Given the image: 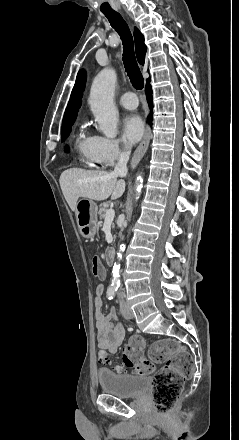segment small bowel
Instances as JSON below:
<instances>
[{
	"label": "small bowel",
	"mask_w": 239,
	"mask_h": 440,
	"mask_svg": "<svg viewBox=\"0 0 239 440\" xmlns=\"http://www.w3.org/2000/svg\"><path fill=\"white\" fill-rule=\"evenodd\" d=\"M103 291V285L100 284L96 287L94 307L97 344L101 350L99 360L101 363L107 364L109 363L108 353H116L122 344L125 337V328L119 320L115 309H111L107 315L102 312ZM103 354L107 356V359H104Z\"/></svg>",
	"instance_id": "small-bowel-1"
}]
</instances>
